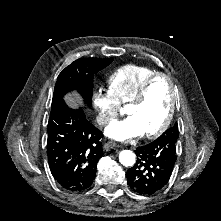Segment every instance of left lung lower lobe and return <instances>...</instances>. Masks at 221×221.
Wrapping results in <instances>:
<instances>
[{"label":"left lung lower lobe","instance_id":"left-lung-lower-lobe-1","mask_svg":"<svg viewBox=\"0 0 221 221\" xmlns=\"http://www.w3.org/2000/svg\"><path fill=\"white\" fill-rule=\"evenodd\" d=\"M177 140L160 136L137 147V162L127 171V181L134 192L152 195L168 183L175 164Z\"/></svg>","mask_w":221,"mask_h":221}]
</instances>
